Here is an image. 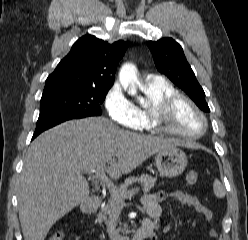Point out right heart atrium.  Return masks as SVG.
Masks as SVG:
<instances>
[{
  "label": "right heart atrium",
  "mask_w": 248,
  "mask_h": 240,
  "mask_svg": "<svg viewBox=\"0 0 248 240\" xmlns=\"http://www.w3.org/2000/svg\"><path fill=\"white\" fill-rule=\"evenodd\" d=\"M104 106L107 114L114 122L131 130H136L140 127L136 107L127 98L119 83H114L107 91Z\"/></svg>",
  "instance_id": "d8ad5b80"
}]
</instances>
